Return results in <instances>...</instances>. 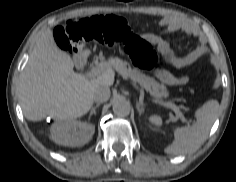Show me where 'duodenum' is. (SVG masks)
Segmentation results:
<instances>
[{
	"instance_id": "1",
	"label": "duodenum",
	"mask_w": 236,
	"mask_h": 182,
	"mask_svg": "<svg viewBox=\"0 0 236 182\" xmlns=\"http://www.w3.org/2000/svg\"><path fill=\"white\" fill-rule=\"evenodd\" d=\"M76 62H77L78 68L81 71H85L86 70L88 62H87V60L83 56H81V55L78 56Z\"/></svg>"
}]
</instances>
